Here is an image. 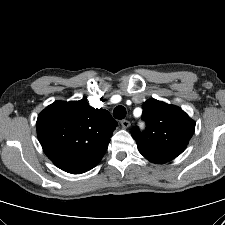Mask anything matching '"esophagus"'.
I'll return each mask as SVG.
<instances>
[{"label":"esophagus","mask_w":225,"mask_h":225,"mask_svg":"<svg viewBox=\"0 0 225 225\" xmlns=\"http://www.w3.org/2000/svg\"><path fill=\"white\" fill-rule=\"evenodd\" d=\"M121 125L124 129H126V128L130 127L131 123L128 120H122Z\"/></svg>","instance_id":"34e87169"}]
</instances>
